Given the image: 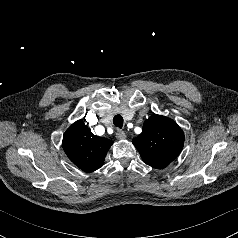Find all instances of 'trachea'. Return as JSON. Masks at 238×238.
<instances>
[{
    "label": "trachea",
    "mask_w": 238,
    "mask_h": 238,
    "mask_svg": "<svg viewBox=\"0 0 238 238\" xmlns=\"http://www.w3.org/2000/svg\"><path fill=\"white\" fill-rule=\"evenodd\" d=\"M113 124H114L116 127H118V128H122V126H123V118H122V116H120V115L114 116V118H113Z\"/></svg>",
    "instance_id": "3493384b"
}]
</instances>
